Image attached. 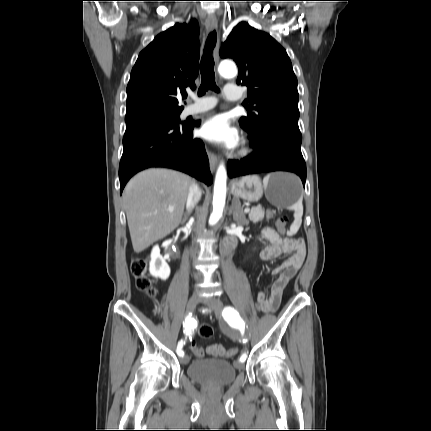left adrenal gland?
<instances>
[{"label": "left adrenal gland", "instance_id": "obj_1", "mask_svg": "<svg viewBox=\"0 0 431 431\" xmlns=\"http://www.w3.org/2000/svg\"><path fill=\"white\" fill-rule=\"evenodd\" d=\"M230 212L233 213V220L237 222L238 224H246L247 220L243 214V209L241 207L240 201H234L232 202V207L230 209Z\"/></svg>", "mask_w": 431, "mask_h": 431}]
</instances>
